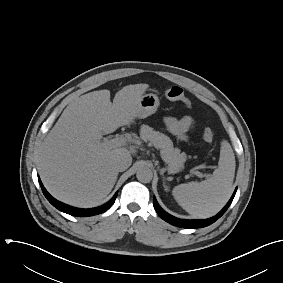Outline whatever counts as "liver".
Wrapping results in <instances>:
<instances>
[{
	"label": "liver",
	"mask_w": 283,
	"mask_h": 283,
	"mask_svg": "<svg viewBox=\"0 0 283 283\" xmlns=\"http://www.w3.org/2000/svg\"><path fill=\"white\" fill-rule=\"evenodd\" d=\"M148 84L128 85L110 101L109 90L84 94L73 100L41 144L39 172L56 199L78 207L101 202L111 192L118 157L132 148H110L102 136L134 122L135 108Z\"/></svg>",
	"instance_id": "6515ba94"
}]
</instances>
